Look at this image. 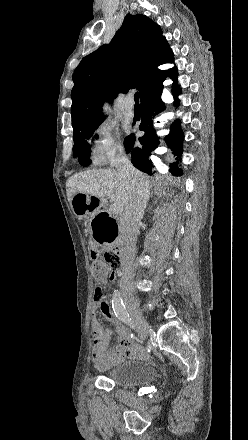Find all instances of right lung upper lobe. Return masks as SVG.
<instances>
[{"instance_id":"1","label":"right lung upper lobe","mask_w":248,"mask_h":440,"mask_svg":"<svg viewBox=\"0 0 248 440\" xmlns=\"http://www.w3.org/2000/svg\"><path fill=\"white\" fill-rule=\"evenodd\" d=\"M172 61L173 53L161 28L146 16L127 14L111 43L84 57L74 71V135L97 129L105 119L100 113L102 103L112 102L119 92L137 88L143 101L162 90L166 75L175 82L176 69L157 68Z\"/></svg>"}]
</instances>
